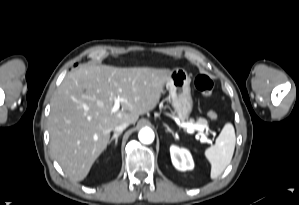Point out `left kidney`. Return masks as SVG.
Wrapping results in <instances>:
<instances>
[{"mask_svg":"<svg viewBox=\"0 0 299 205\" xmlns=\"http://www.w3.org/2000/svg\"><path fill=\"white\" fill-rule=\"evenodd\" d=\"M170 155L176 169L186 171L194 168L192 156L187 149L172 145L170 147Z\"/></svg>","mask_w":299,"mask_h":205,"instance_id":"1","label":"left kidney"}]
</instances>
